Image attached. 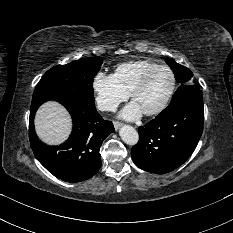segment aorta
Instances as JSON below:
<instances>
[{"label":"aorta","instance_id":"762f6f07","mask_svg":"<svg viewBox=\"0 0 233 233\" xmlns=\"http://www.w3.org/2000/svg\"><path fill=\"white\" fill-rule=\"evenodd\" d=\"M119 135L121 139L128 145H135L138 143L139 134L130 125H123L119 130Z\"/></svg>","mask_w":233,"mask_h":233}]
</instances>
